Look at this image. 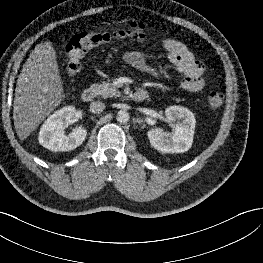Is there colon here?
Here are the masks:
<instances>
[{"label": "colon", "mask_w": 263, "mask_h": 263, "mask_svg": "<svg viewBox=\"0 0 263 263\" xmlns=\"http://www.w3.org/2000/svg\"><path fill=\"white\" fill-rule=\"evenodd\" d=\"M152 31L142 24L133 23L127 28H120L113 32L83 31L75 34L69 40L65 49V67L69 74L79 71L81 61L86 53L92 48L106 43L113 38H136L144 39L152 36ZM223 95L220 92L212 91L207 97V106L210 111L218 110L223 103Z\"/></svg>", "instance_id": "obj_1"}]
</instances>
